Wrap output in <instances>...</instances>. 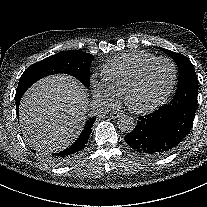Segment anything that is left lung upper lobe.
<instances>
[{
  "label": "left lung upper lobe",
  "instance_id": "1",
  "mask_svg": "<svg viewBox=\"0 0 207 207\" xmlns=\"http://www.w3.org/2000/svg\"><path fill=\"white\" fill-rule=\"evenodd\" d=\"M160 49L168 54L177 64L179 69V80L176 94L170 103H182L191 108L197 107L198 81L190 60L180 54L164 48Z\"/></svg>",
  "mask_w": 207,
  "mask_h": 207
}]
</instances>
